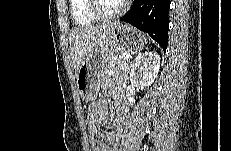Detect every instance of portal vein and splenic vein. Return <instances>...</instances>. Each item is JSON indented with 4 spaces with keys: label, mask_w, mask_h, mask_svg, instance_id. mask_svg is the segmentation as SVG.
<instances>
[{
    "label": "portal vein and splenic vein",
    "mask_w": 231,
    "mask_h": 151,
    "mask_svg": "<svg viewBox=\"0 0 231 151\" xmlns=\"http://www.w3.org/2000/svg\"><path fill=\"white\" fill-rule=\"evenodd\" d=\"M124 57H125L126 59H129V58H130V55H129V54H124Z\"/></svg>",
    "instance_id": "portal-vein-and-splenic-vein-1"
}]
</instances>
